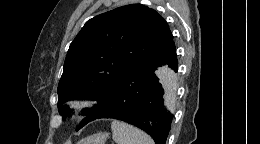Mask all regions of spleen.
<instances>
[{"label":"spleen","instance_id":"3e777b00","mask_svg":"<svg viewBox=\"0 0 260 144\" xmlns=\"http://www.w3.org/2000/svg\"><path fill=\"white\" fill-rule=\"evenodd\" d=\"M111 129L116 144H154L149 135L127 123L114 120Z\"/></svg>","mask_w":260,"mask_h":144}]
</instances>
